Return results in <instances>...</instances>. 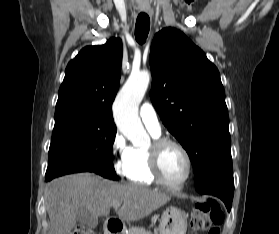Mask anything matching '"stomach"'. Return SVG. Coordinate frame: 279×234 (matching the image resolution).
I'll return each mask as SVG.
<instances>
[{
	"instance_id": "stomach-1",
	"label": "stomach",
	"mask_w": 279,
	"mask_h": 234,
	"mask_svg": "<svg viewBox=\"0 0 279 234\" xmlns=\"http://www.w3.org/2000/svg\"><path fill=\"white\" fill-rule=\"evenodd\" d=\"M188 214L176 208H167L160 220V234H186Z\"/></svg>"
}]
</instances>
